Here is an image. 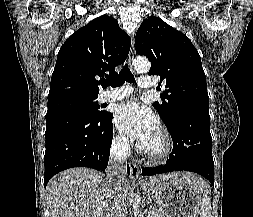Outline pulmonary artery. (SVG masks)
Segmentation results:
<instances>
[{"mask_svg": "<svg viewBox=\"0 0 253 217\" xmlns=\"http://www.w3.org/2000/svg\"><path fill=\"white\" fill-rule=\"evenodd\" d=\"M138 85L142 89H152L154 87V82L150 76H142L139 79ZM132 93V88L129 86H124L118 88L114 91L103 92L100 96L101 102H112L123 99Z\"/></svg>", "mask_w": 253, "mask_h": 217, "instance_id": "pulmonary-artery-1", "label": "pulmonary artery"}]
</instances>
